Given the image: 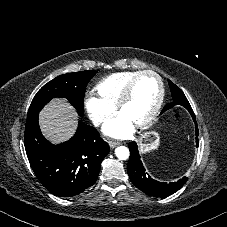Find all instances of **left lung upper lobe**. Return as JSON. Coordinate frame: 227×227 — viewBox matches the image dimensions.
<instances>
[{"instance_id": "1", "label": "left lung upper lobe", "mask_w": 227, "mask_h": 227, "mask_svg": "<svg viewBox=\"0 0 227 227\" xmlns=\"http://www.w3.org/2000/svg\"><path fill=\"white\" fill-rule=\"evenodd\" d=\"M168 82H169V87H170L173 102L167 104L163 108L162 113L174 106L184 107L189 111V113H193V110L184 93L173 82H171L170 80H168Z\"/></svg>"}]
</instances>
